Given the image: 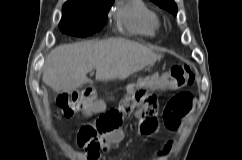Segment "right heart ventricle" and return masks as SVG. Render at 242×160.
Wrapping results in <instances>:
<instances>
[{
	"label": "right heart ventricle",
	"mask_w": 242,
	"mask_h": 160,
	"mask_svg": "<svg viewBox=\"0 0 242 160\" xmlns=\"http://www.w3.org/2000/svg\"><path fill=\"white\" fill-rule=\"evenodd\" d=\"M123 30L146 37H154L160 28L157 13L143 0H122L114 15Z\"/></svg>",
	"instance_id": "e07e8e85"
}]
</instances>
